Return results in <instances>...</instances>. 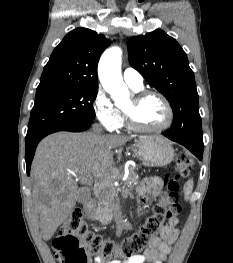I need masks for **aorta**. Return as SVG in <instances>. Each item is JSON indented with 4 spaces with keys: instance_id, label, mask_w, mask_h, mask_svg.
<instances>
[{
    "instance_id": "obj_1",
    "label": "aorta",
    "mask_w": 233,
    "mask_h": 263,
    "mask_svg": "<svg viewBox=\"0 0 233 263\" xmlns=\"http://www.w3.org/2000/svg\"><path fill=\"white\" fill-rule=\"evenodd\" d=\"M122 51L119 47L107 49L101 56L98 75L103 88L117 104L129 101L128 87L121 75Z\"/></svg>"
}]
</instances>
